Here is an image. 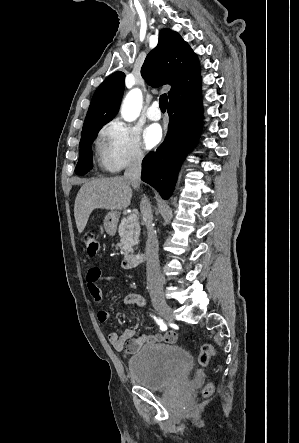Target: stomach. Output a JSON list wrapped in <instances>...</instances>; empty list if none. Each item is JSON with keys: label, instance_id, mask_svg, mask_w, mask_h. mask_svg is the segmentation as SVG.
Wrapping results in <instances>:
<instances>
[{"label": "stomach", "instance_id": "0dacf381", "mask_svg": "<svg viewBox=\"0 0 299 443\" xmlns=\"http://www.w3.org/2000/svg\"><path fill=\"white\" fill-rule=\"evenodd\" d=\"M117 224V213L114 211L107 213L104 218V229L110 236H114L116 234Z\"/></svg>", "mask_w": 299, "mask_h": 443}]
</instances>
